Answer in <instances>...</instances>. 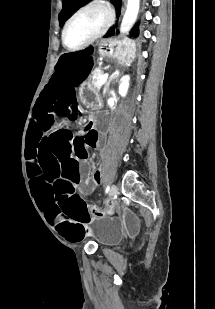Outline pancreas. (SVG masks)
Here are the masks:
<instances>
[{"label":"pancreas","instance_id":"pancreas-1","mask_svg":"<svg viewBox=\"0 0 215 309\" xmlns=\"http://www.w3.org/2000/svg\"><path fill=\"white\" fill-rule=\"evenodd\" d=\"M93 74H94L95 78H93L92 84H93V86H97L96 82H97V80H100L99 76H102V74H104V70H102L101 66H99V68H97V70H93ZM108 86H109V82L107 80V82H104V90H106V88H108Z\"/></svg>","mask_w":215,"mask_h":309}]
</instances>
